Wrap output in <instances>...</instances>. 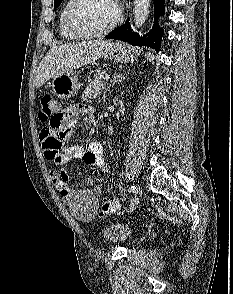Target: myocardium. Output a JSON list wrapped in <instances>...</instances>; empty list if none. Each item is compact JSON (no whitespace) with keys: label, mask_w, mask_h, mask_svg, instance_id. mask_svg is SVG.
Listing matches in <instances>:
<instances>
[{"label":"myocardium","mask_w":233,"mask_h":294,"mask_svg":"<svg viewBox=\"0 0 233 294\" xmlns=\"http://www.w3.org/2000/svg\"><path fill=\"white\" fill-rule=\"evenodd\" d=\"M116 8V14L114 19L112 20V22L106 26L104 29L100 30V31H96V32H85L80 30L73 21V13L75 8L78 6V4L80 2H82V0H71V3L67 9L66 12V25L68 27V29L76 36H78L79 38H98V37H102L104 35H107L108 33H110L120 22L122 19V14L120 9L118 8V6L116 5V3L113 0H110Z\"/></svg>","instance_id":"1"}]
</instances>
